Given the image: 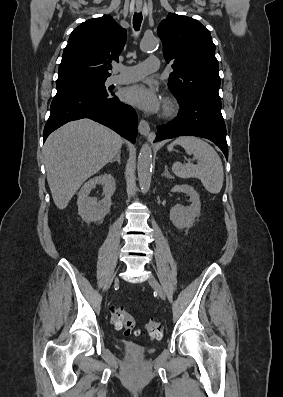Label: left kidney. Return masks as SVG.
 Instances as JSON below:
<instances>
[{"label": "left kidney", "instance_id": "left-kidney-1", "mask_svg": "<svg viewBox=\"0 0 283 397\" xmlns=\"http://www.w3.org/2000/svg\"><path fill=\"white\" fill-rule=\"evenodd\" d=\"M172 192H182L190 197L191 205L184 207L176 205L170 210V220L178 229L189 228L192 226L196 217L200 215L201 204L198 193L192 186L187 184L175 185Z\"/></svg>", "mask_w": 283, "mask_h": 397}]
</instances>
